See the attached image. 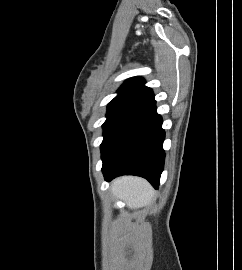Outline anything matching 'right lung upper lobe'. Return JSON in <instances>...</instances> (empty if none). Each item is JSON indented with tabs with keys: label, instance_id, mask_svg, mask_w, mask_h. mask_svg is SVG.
I'll return each instance as SVG.
<instances>
[{
	"label": "right lung upper lobe",
	"instance_id": "obj_1",
	"mask_svg": "<svg viewBox=\"0 0 242 270\" xmlns=\"http://www.w3.org/2000/svg\"><path fill=\"white\" fill-rule=\"evenodd\" d=\"M143 78L134 77L126 80L119 88L118 95L108 104L139 107L154 99L151 88L146 87Z\"/></svg>",
	"mask_w": 242,
	"mask_h": 270
}]
</instances>
